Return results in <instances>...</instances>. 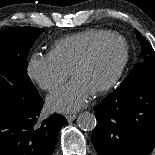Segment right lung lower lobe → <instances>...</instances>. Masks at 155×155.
<instances>
[{
  "label": "right lung lower lobe",
  "mask_w": 155,
  "mask_h": 155,
  "mask_svg": "<svg viewBox=\"0 0 155 155\" xmlns=\"http://www.w3.org/2000/svg\"><path fill=\"white\" fill-rule=\"evenodd\" d=\"M43 99L26 108L0 106V155H51L67 120L59 114L37 122Z\"/></svg>",
  "instance_id": "obj_1"
}]
</instances>
